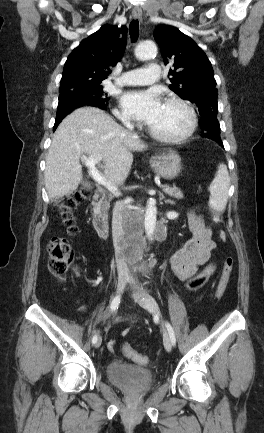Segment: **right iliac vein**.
Returning a JSON list of instances; mask_svg holds the SVG:
<instances>
[{
	"mask_svg": "<svg viewBox=\"0 0 264 433\" xmlns=\"http://www.w3.org/2000/svg\"><path fill=\"white\" fill-rule=\"evenodd\" d=\"M128 281H129V280L126 279V278H119V280H118V285H117V294L120 295V294L124 291V289H125V287H126ZM101 343H102V338L99 337V338L97 339V342L95 343V347H96V348H99V347L101 346Z\"/></svg>",
	"mask_w": 264,
	"mask_h": 433,
	"instance_id": "63e3f726",
	"label": "right iliac vein"
}]
</instances>
